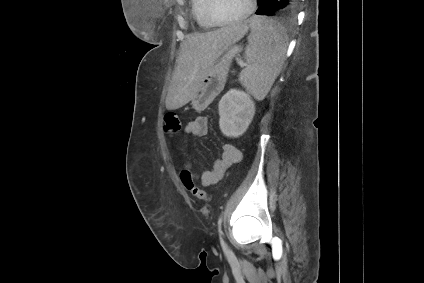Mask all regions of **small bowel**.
Instances as JSON below:
<instances>
[{
  "mask_svg": "<svg viewBox=\"0 0 424 283\" xmlns=\"http://www.w3.org/2000/svg\"><path fill=\"white\" fill-rule=\"evenodd\" d=\"M209 120L206 116H199L189 122L185 127V132L195 137H202L208 134ZM241 159L240 150L233 144L225 143L222 146L221 157L217 159L212 168L197 174L190 163L182 166L181 172L187 171L193 180H199L202 186L209 187L219 182L230 166L238 163Z\"/></svg>",
  "mask_w": 424,
  "mask_h": 283,
  "instance_id": "c3829d8e",
  "label": "small bowel"
}]
</instances>
